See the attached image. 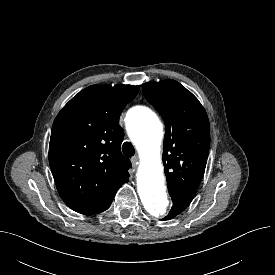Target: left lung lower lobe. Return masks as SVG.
I'll return each mask as SVG.
<instances>
[{"label":"left lung lower lobe","mask_w":275,"mask_h":275,"mask_svg":"<svg viewBox=\"0 0 275 275\" xmlns=\"http://www.w3.org/2000/svg\"><path fill=\"white\" fill-rule=\"evenodd\" d=\"M169 194L172 198L173 206L169 214L164 218V220L172 219L178 214H180L189 206V204L195 196V194L188 192H174Z\"/></svg>","instance_id":"left-lung-lower-lobe-1"}]
</instances>
